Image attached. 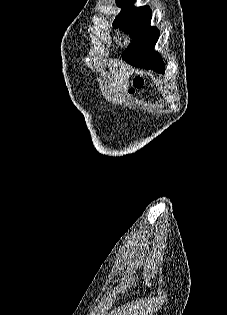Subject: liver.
<instances>
[{"label": "liver", "mask_w": 227, "mask_h": 315, "mask_svg": "<svg viewBox=\"0 0 227 315\" xmlns=\"http://www.w3.org/2000/svg\"><path fill=\"white\" fill-rule=\"evenodd\" d=\"M110 73L112 74L114 86L122 92H126L128 90V79L132 74L129 67L123 62H114L110 67Z\"/></svg>", "instance_id": "1"}]
</instances>
